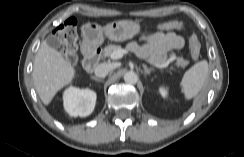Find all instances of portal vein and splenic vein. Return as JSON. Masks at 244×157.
<instances>
[{"instance_id": "obj_1", "label": "portal vein and splenic vein", "mask_w": 244, "mask_h": 157, "mask_svg": "<svg viewBox=\"0 0 244 157\" xmlns=\"http://www.w3.org/2000/svg\"><path fill=\"white\" fill-rule=\"evenodd\" d=\"M128 51L125 50V49H118L116 51H114L111 55H110V58L113 59V60H118V59H121L123 57L124 54H127ZM150 64L154 65L155 67L157 68H165L168 66V62L164 63V64H155V63H152L150 61H148Z\"/></svg>"}]
</instances>
